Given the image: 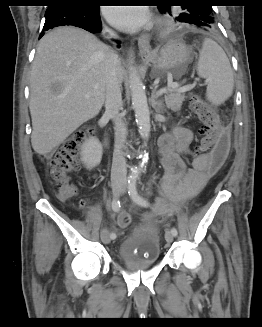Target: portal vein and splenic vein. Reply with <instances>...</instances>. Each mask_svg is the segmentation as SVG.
<instances>
[{
    "label": "portal vein and splenic vein",
    "mask_w": 262,
    "mask_h": 327,
    "mask_svg": "<svg viewBox=\"0 0 262 327\" xmlns=\"http://www.w3.org/2000/svg\"><path fill=\"white\" fill-rule=\"evenodd\" d=\"M195 85H187V86H181L179 83H172L168 85L167 88H162L158 91V95H162L166 93L170 89H174L179 92H186L194 88Z\"/></svg>",
    "instance_id": "1"
}]
</instances>
